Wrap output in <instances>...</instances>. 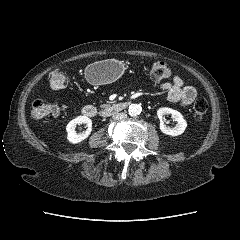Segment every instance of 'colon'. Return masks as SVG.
I'll return each mask as SVG.
<instances>
[{"label": "colon", "instance_id": "5ec220e1", "mask_svg": "<svg viewBox=\"0 0 240 240\" xmlns=\"http://www.w3.org/2000/svg\"><path fill=\"white\" fill-rule=\"evenodd\" d=\"M153 80L160 81L170 77L171 71L167 64L163 61L154 62L149 71ZM50 86L53 89L65 88L69 83V76L63 68L52 70L49 76ZM208 109V102L200 96L196 99L193 106V117L195 120H201ZM63 111V106L48 99H38L33 103L32 114L36 118H52L56 117Z\"/></svg>", "mask_w": 240, "mask_h": 240}]
</instances>
